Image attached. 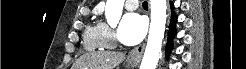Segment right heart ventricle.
Here are the masks:
<instances>
[{
	"mask_svg": "<svg viewBox=\"0 0 246 69\" xmlns=\"http://www.w3.org/2000/svg\"><path fill=\"white\" fill-rule=\"evenodd\" d=\"M84 47L88 51L101 50L109 47L100 23L89 25L84 33Z\"/></svg>",
	"mask_w": 246,
	"mask_h": 69,
	"instance_id": "obj_1",
	"label": "right heart ventricle"
}]
</instances>
